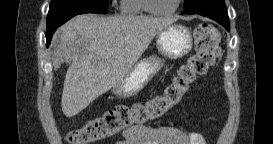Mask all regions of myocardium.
Masks as SVG:
<instances>
[{
	"mask_svg": "<svg viewBox=\"0 0 273 144\" xmlns=\"http://www.w3.org/2000/svg\"><path fill=\"white\" fill-rule=\"evenodd\" d=\"M181 2L182 0H176L175 5L169 10H158L154 7L153 0H144L143 8L145 11H147L148 13L152 15L166 16V15H171L175 13L178 10Z\"/></svg>",
	"mask_w": 273,
	"mask_h": 144,
	"instance_id": "myocardium-1",
	"label": "myocardium"
}]
</instances>
